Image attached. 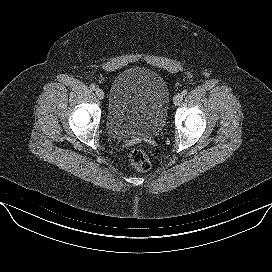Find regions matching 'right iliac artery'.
Segmentation results:
<instances>
[{
    "mask_svg": "<svg viewBox=\"0 0 272 272\" xmlns=\"http://www.w3.org/2000/svg\"><path fill=\"white\" fill-rule=\"evenodd\" d=\"M90 89H91V90H95V89H96V86H95L94 84H91V85H90Z\"/></svg>",
    "mask_w": 272,
    "mask_h": 272,
    "instance_id": "right-iliac-artery-1",
    "label": "right iliac artery"
}]
</instances>
